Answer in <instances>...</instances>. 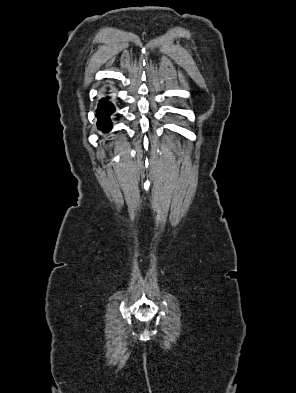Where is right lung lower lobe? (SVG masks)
Returning a JSON list of instances; mask_svg holds the SVG:
<instances>
[{
    "label": "right lung lower lobe",
    "instance_id": "obj_1",
    "mask_svg": "<svg viewBox=\"0 0 296 393\" xmlns=\"http://www.w3.org/2000/svg\"><path fill=\"white\" fill-rule=\"evenodd\" d=\"M114 111L115 108L111 102L108 101L107 97L101 99L96 111L98 117L97 125L100 130L106 132L111 129V121L109 117Z\"/></svg>",
    "mask_w": 296,
    "mask_h": 393
}]
</instances>
